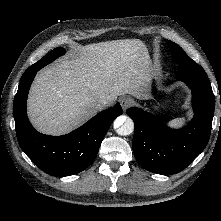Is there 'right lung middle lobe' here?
Segmentation results:
<instances>
[{"label": "right lung middle lobe", "mask_w": 221, "mask_h": 221, "mask_svg": "<svg viewBox=\"0 0 221 221\" xmlns=\"http://www.w3.org/2000/svg\"><path fill=\"white\" fill-rule=\"evenodd\" d=\"M64 53L65 51L63 48H56L52 50L51 52H49L48 54H46L44 57H42L41 60L33 64L31 67H36V66L44 67L50 62H52L53 60H55L56 58H58L59 56L63 55Z\"/></svg>", "instance_id": "dd1d6c3e"}]
</instances>
